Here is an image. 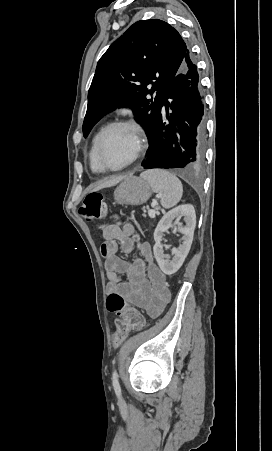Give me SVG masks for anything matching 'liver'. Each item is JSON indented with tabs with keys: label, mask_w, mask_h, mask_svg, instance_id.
Returning <instances> with one entry per match:
<instances>
[{
	"label": "liver",
	"mask_w": 272,
	"mask_h": 451,
	"mask_svg": "<svg viewBox=\"0 0 272 451\" xmlns=\"http://www.w3.org/2000/svg\"><path fill=\"white\" fill-rule=\"evenodd\" d=\"M124 178L125 176H115L112 180H108V182H103V184H100V186H98V190H100V188H110V186H115V184H118V182H121Z\"/></svg>",
	"instance_id": "6515ba94"
}]
</instances>
